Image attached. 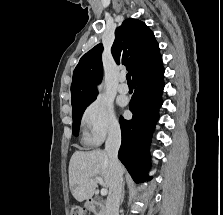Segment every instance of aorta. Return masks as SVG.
Instances as JSON below:
<instances>
[{
    "label": "aorta",
    "instance_id": "1",
    "mask_svg": "<svg viewBox=\"0 0 223 215\" xmlns=\"http://www.w3.org/2000/svg\"><path fill=\"white\" fill-rule=\"evenodd\" d=\"M102 86H99V90H101Z\"/></svg>",
    "mask_w": 223,
    "mask_h": 215
}]
</instances>
